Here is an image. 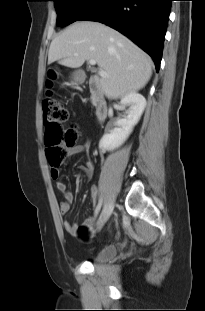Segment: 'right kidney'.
<instances>
[{"label":"right kidney","mask_w":205,"mask_h":311,"mask_svg":"<svg viewBox=\"0 0 205 311\" xmlns=\"http://www.w3.org/2000/svg\"><path fill=\"white\" fill-rule=\"evenodd\" d=\"M120 104V108H124L126 105L130 106L127 116L118 119L116 122L117 127L102 137L99 143V147L102 149L113 150L128 138L145 109L146 99L141 94L132 92L124 96Z\"/></svg>","instance_id":"1"}]
</instances>
